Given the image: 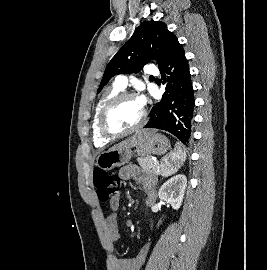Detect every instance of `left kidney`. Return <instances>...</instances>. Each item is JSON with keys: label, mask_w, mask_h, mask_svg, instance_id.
Here are the masks:
<instances>
[{"label": "left kidney", "mask_w": 267, "mask_h": 270, "mask_svg": "<svg viewBox=\"0 0 267 270\" xmlns=\"http://www.w3.org/2000/svg\"><path fill=\"white\" fill-rule=\"evenodd\" d=\"M186 185L187 178L185 175H175L163 183L158 196L160 200L169 203L173 209L178 210L183 202Z\"/></svg>", "instance_id": "obj_1"}]
</instances>
